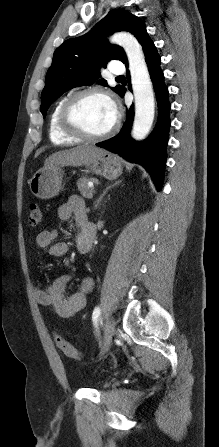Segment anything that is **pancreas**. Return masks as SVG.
<instances>
[{
	"mask_svg": "<svg viewBox=\"0 0 219 447\" xmlns=\"http://www.w3.org/2000/svg\"><path fill=\"white\" fill-rule=\"evenodd\" d=\"M89 181H95L93 178L82 177L77 181V187L81 195L85 198H92L93 189L88 186Z\"/></svg>",
	"mask_w": 219,
	"mask_h": 447,
	"instance_id": "pancreas-1",
	"label": "pancreas"
}]
</instances>
